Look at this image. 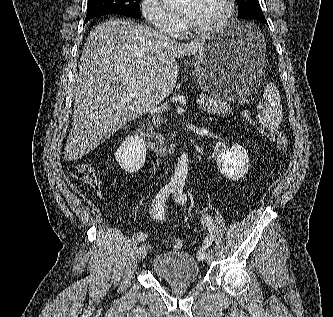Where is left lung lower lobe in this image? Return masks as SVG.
Listing matches in <instances>:
<instances>
[{"instance_id": "obj_1", "label": "left lung lower lobe", "mask_w": 333, "mask_h": 317, "mask_svg": "<svg viewBox=\"0 0 333 317\" xmlns=\"http://www.w3.org/2000/svg\"><path fill=\"white\" fill-rule=\"evenodd\" d=\"M247 19H257V20H261L262 22L267 24V21H266L264 15H254V16H251Z\"/></svg>"}]
</instances>
